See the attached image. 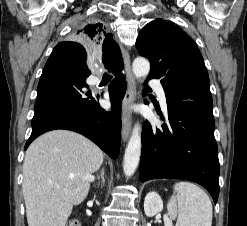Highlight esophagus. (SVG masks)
Instances as JSON below:
<instances>
[{"label": "esophagus", "mask_w": 247, "mask_h": 226, "mask_svg": "<svg viewBox=\"0 0 247 226\" xmlns=\"http://www.w3.org/2000/svg\"><path fill=\"white\" fill-rule=\"evenodd\" d=\"M121 50L124 58L125 75L127 81V90L123 101L122 119V139L125 142L128 140L131 133L132 114L129 107L136 97V83L131 69L130 55L123 46H121Z\"/></svg>", "instance_id": "esophagus-1"}]
</instances>
